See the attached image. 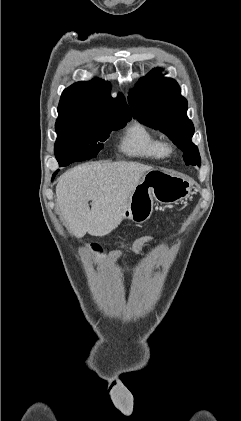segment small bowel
<instances>
[{"mask_svg": "<svg viewBox=\"0 0 241 421\" xmlns=\"http://www.w3.org/2000/svg\"><path fill=\"white\" fill-rule=\"evenodd\" d=\"M153 239V237L151 235H144L141 236L135 243L136 247L139 249V251L142 249V247L144 246V244H146L147 242H150Z\"/></svg>", "mask_w": 241, "mask_h": 421, "instance_id": "1", "label": "small bowel"}]
</instances>
